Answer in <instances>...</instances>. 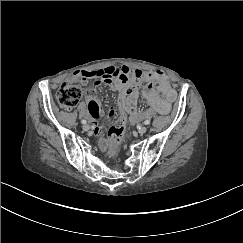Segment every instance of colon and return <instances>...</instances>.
<instances>
[{
    "label": "colon",
    "instance_id": "1",
    "mask_svg": "<svg viewBox=\"0 0 243 243\" xmlns=\"http://www.w3.org/2000/svg\"><path fill=\"white\" fill-rule=\"evenodd\" d=\"M140 75H135L131 80H123V87L119 94L120 116L118 121L111 127L107 141L110 144V153L115 155L119 145L123 142L126 125L130 117H135L137 111V96ZM59 105L64 109L75 107L80 98L81 92L74 84L64 83L56 95Z\"/></svg>",
    "mask_w": 243,
    "mask_h": 243
}]
</instances>
